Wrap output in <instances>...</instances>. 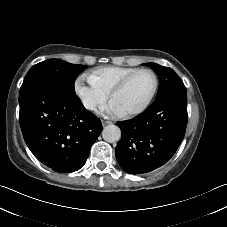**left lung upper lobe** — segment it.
<instances>
[{
  "mask_svg": "<svg viewBox=\"0 0 227 227\" xmlns=\"http://www.w3.org/2000/svg\"><path fill=\"white\" fill-rule=\"evenodd\" d=\"M143 65L150 66L159 75L160 84L156 99L170 93L187 92L180 77L169 67L160 66L156 63H146Z\"/></svg>",
  "mask_w": 227,
  "mask_h": 227,
  "instance_id": "5c2ea615",
  "label": "left lung upper lobe"
}]
</instances>
